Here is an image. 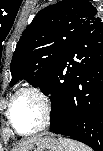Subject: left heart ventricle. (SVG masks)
Segmentation results:
<instances>
[{"instance_id": "obj_1", "label": "left heart ventricle", "mask_w": 103, "mask_h": 151, "mask_svg": "<svg viewBox=\"0 0 103 151\" xmlns=\"http://www.w3.org/2000/svg\"><path fill=\"white\" fill-rule=\"evenodd\" d=\"M11 115L17 129L21 132H28L40 124L42 111L35 97L24 94L15 101Z\"/></svg>"}]
</instances>
